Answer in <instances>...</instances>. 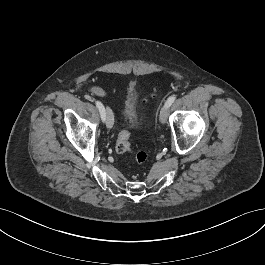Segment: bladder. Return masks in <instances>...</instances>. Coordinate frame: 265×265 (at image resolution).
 <instances>
[{"label": "bladder", "mask_w": 265, "mask_h": 265, "mask_svg": "<svg viewBox=\"0 0 265 265\" xmlns=\"http://www.w3.org/2000/svg\"><path fill=\"white\" fill-rule=\"evenodd\" d=\"M137 94L135 89H128L123 104V115L126 121L133 124L136 120Z\"/></svg>", "instance_id": "obj_1"}]
</instances>
